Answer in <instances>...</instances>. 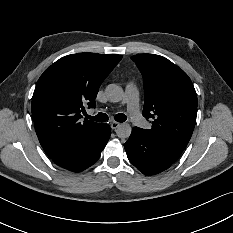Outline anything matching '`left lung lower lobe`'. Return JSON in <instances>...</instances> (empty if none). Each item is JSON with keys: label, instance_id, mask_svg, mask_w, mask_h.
Returning <instances> with one entry per match:
<instances>
[{"label": "left lung lower lobe", "instance_id": "obj_1", "mask_svg": "<svg viewBox=\"0 0 233 233\" xmlns=\"http://www.w3.org/2000/svg\"><path fill=\"white\" fill-rule=\"evenodd\" d=\"M124 147L129 161L145 175H155L168 169L184 150L148 138L138 127L132 129Z\"/></svg>", "mask_w": 233, "mask_h": 233}]
</instances>
